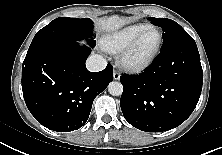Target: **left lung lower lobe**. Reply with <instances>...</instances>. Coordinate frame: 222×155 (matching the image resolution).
I'll use <instances>...</instances> for the list:
<instances>
[{"label": "left lung lower lobe", "mask_w": 222, "mask_h": 155, "mask_svg": "<svg viewBox=\"0 0 222 155\" xmlns=\"http://www.w3.org/2000/svg\"><path fill=\"white\" fill-rule=\"evenodd\" d=\"M120 106L125 119L146 132H161L183 123L195 109L203 71L197 46L160 51L139 75L121 76Z\"/></svg>", "instance_id": "left-lung-lower-lobe-1"}]
</instances>
